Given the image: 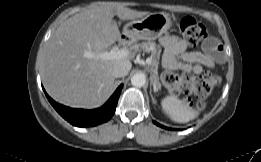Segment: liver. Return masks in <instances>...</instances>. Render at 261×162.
Segmentation results:
<instances>
[{
  "instance_id": "liver-1",
  "label": "liver",
  "mask_w": 261,
  "mask_h": 162,
  "mask_svg": "<svg viewBox=\"0 0 261 162\" xmlns=\"http://www.w3.org/2000/svg\"><path fill=\"white\" fill-rule=\"evenodd\" d=\"M149 12L115 7L111 3L88 8L60 24L50 37L42 62V79L48 94L56 101L75 108H96L112 92L115 76L113 68L130 62L135 53L122 59L88 58L98 54L119 40V30L113 22L134 20ZM132 41L131 31L122 33Z\"/></svg>"
}]
</instances>
